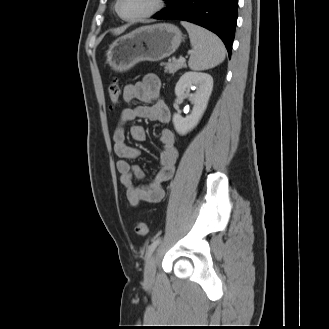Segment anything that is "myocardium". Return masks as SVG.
Masks as SVG:
<instances>
[{"instance_id": "f54148a6", "label": "myocardium", "mask_w": 329, "mask_h": 329, "mask_svg": "<svg viewBox=\"0 0 329 329\" xmlns=\"http://www.w3.org/2000/svg\"><path fill=\"white\" fill-rule=\"evenodd\" d=\"M120 2H121V0H116L115 11H116L117 15L125 21H138L141 19L151 17V16L155 15L156 13H158L164 6V0H154L153 6L148 11H146L142 14L136 15V16L125 17L119 11Z\"/></svg>"}]
</instances>
